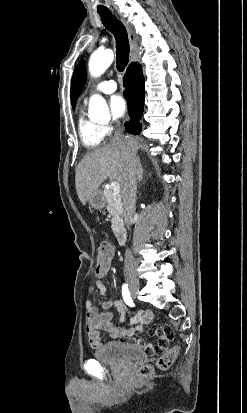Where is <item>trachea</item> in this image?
<instances>
[{
    "instance_id": "trachea-1",
    "label": "trachea",
    "mask_w": 247,
    "mask_h": 413,
    "mask_svg": "<svg viewBox=\"0 0 247 413\" xmlns=\"http://www.w3.org/2000/svg\"><path fill=\"white\" fill-rule=\"evenodd\" d=\"M104 27L113 33L116 39V67L118 71H123L129 59V42L126 28L111 12L98 11Z\"/></svg>"
}]
</instances>
